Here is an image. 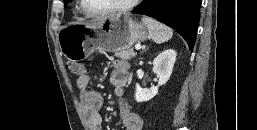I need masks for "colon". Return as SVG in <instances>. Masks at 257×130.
<instances>
[{
    "label": "colon",
    "instance_id": "colon-1",
    "mask_svg": "<svg viewBox=\"0 0 257 130\" xmlns=\"http://www.w3.org/2000/svg\"><path fill=\"white\" fill-rule=\"evenodd\" d=\"M68 68L70 72L75 76L81 77L86 74V69L81 63L73 62V61L69 62Z\"/></svg>",
    "mask_w": 257,
    "mask_h": 130
}]
</instances>
